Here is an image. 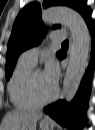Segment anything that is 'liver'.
<instances>
[{"label":"liver","instance_id":"1","mask_svg":"<svg viewBox=\"0 0 95 130\" xmlns=\"http://www.w3.org/2000/svg\"><path fill=\"white\" fill-rule=\"evenodd\" d=\"M41 117L42 113L37 111H10L3 118L2 130H36Z\"/></svg>","mask_w":95,"mask_h":130}]
</instances>
